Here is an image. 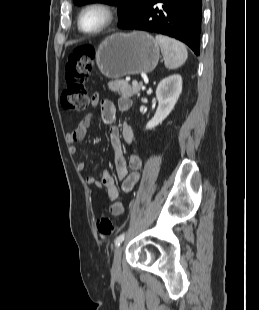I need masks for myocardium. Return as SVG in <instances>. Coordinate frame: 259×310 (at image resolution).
I'll return each instance as SVG.
<instances>
[{
	"label": "myocardium",
	"instance_id": "myocardium-1",
	"mask_svg": "<svg viewBox=\"0 0 259 310\" xmlns=\"http://www.w3.org/2000/svg\"><path fill=\"white\" fill-rule=\"evenodd\" d=\"M93 9L102 11L105 18H104L103 23L98 28L93 29V30H86L82 25V18H83V15L87 11L93 10ZM115 18H116V10L111 4L107 2H103V1H96V2L87 4L81 9L77 17V26H78V29L84 34L96 35V34H100L103 31L107 30L113 24V22L115 21Z\"/></svg>",
	"mask_w": 259,
	"mask_h": 310
}]
</instances>
